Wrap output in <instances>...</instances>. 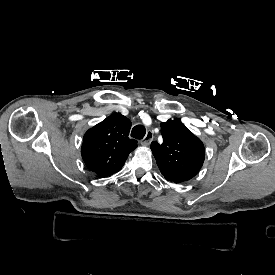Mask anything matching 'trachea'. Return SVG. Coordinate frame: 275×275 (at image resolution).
Returning <instances> with one entry per match:
<instances>
[{
	"instance_id": "1",
	"label": "trachea",
	"mask_w": 275,
	"mask_h": 275,
	"mask_svg": "<svg viewBox=\"0 0 275 275\" xmlns=\"http://www.w3.org/2000/svg\"><path fill=\"white\" fill-rule=\"evenodd\" d=\"M145 133H146L145 127L142 125H137L133 127L131 131V137L135 139H143V137L145 136Z\"/></svg>"
}]
</instances>
